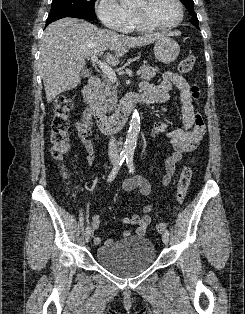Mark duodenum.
Masks as SVG:
<instances>
[{"label": "duodenum", "mask_w": 245, "mask_h": 314, "mask_svg": "<svg viewBox=\"0 0 245 314\" xmlns=\"http://www.w3.org/2000/svg\"><path fill=\"white\" fill-rule=\"evenodd\" d=\"M100 78L92 75L88 79L87 85L82 90V100L86 106L87 113L95 119L99 130L103 133H110L122 129L127 119L138 101H142V95H128L124 97L116 112L108 117L103 112L95 99V92L100 86ZM147 98L144 99V101Z\"/></svg>", "instance_id": "1"}]
</instances>
